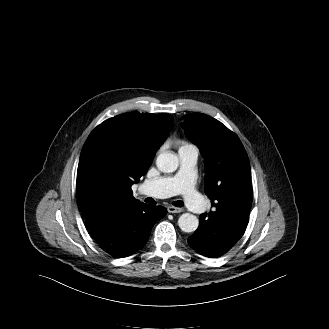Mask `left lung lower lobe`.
<instances>
[{"instance_id":"left-lung-lower-lobe-1","label":"left lung lower lobe","mask_w":329,"mask_h":329,"mask_svg":"<svg viewBox=\"0 0 329 329\" xmlns=\"http://www.w3.org/2000/svg\"><path fill=\"white\" fill-rule=\"evenodd\" d=\"M249 206L235 208L228 219L213 221L205 214L199 217V227L188 238L189 245L206 257H219L230 250L243 236L248 224Z\"/></svg>"}]
</instances>
